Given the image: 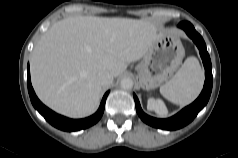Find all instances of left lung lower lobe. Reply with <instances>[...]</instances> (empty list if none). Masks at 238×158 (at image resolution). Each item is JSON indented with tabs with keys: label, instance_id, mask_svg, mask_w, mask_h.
I'll use <instances>...</instances> for the list:
<instances>
[{
	"label": "left lung lower lobe",
	"instance_id": "1",
	"mask_svg": "<svg viewBox=\"0 0 238 158\" xmlns=\"http://www.w3.org/2000/svg\"><path fill=\"white\" fill-rule=\"evenodd\" d=\"M197 45L203 64L205 67V83L200 96L189 106L182 109L179 113L168 119H157L145 114L140 106L139 100L135 94L134 100L136 110L139 117L147 124L165 130H176L189 124L199 113V111L207 104L212 91V65L209 54L206 49V44L203 38L196 32L193 25L188 21H183L178 25Z\"/></svg>",
	"mask_w": 238,
	"mask_h": 158
}]
</instances>
